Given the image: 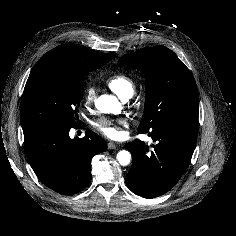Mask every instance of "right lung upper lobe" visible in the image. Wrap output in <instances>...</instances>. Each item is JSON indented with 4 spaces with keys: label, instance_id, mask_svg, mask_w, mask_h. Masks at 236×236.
<instances>
[{
    "label": "right lung upper lobe",
    "instance_id": "1",
    "mask_svg": "<svg viewBox=\"0 0 236 236\" xmlns=\"http://www.w3.org/2000/svg\"><path fill=\"white\" fill-rule=\"evenodd\" d=\"M115 53L104 54L77 44H63L47 52L35 66L79 68L88 65H104Z\"/></svg>",
    "mask_w": 236,
    "mask_h": 236
}]
</instances>
